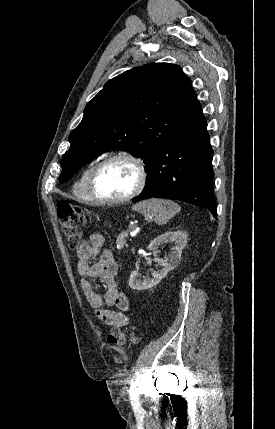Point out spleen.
<instances>
[{
	"mask_svg": "<svg viewBox=\"0 0 275 429\" xmlns=\"http://www.w3.org/2000/svg\"><path fill=\"white\" fill-rule=\"evenodd\" d=\"M132 209L146 218H154L157 224L164 225L180 212L181 208L171 200L152 198L137 203Z\"/></svg>",
	"mask_w": 275,
	"mask_h": 429,
	"instance_id": "spleen-1",
	"label": "spleen"
}]
</instances>
